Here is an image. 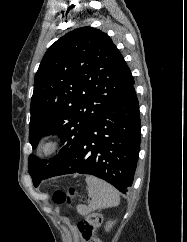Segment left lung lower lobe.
Segmentation results:
<instances>
[{
	"label": "left lung lower lobe",
	"mask_w": 187,
	"mask_h": 242,
	"mask_svg": "<svg viewBox=\"0 0 187 242\" xmlns=\"http://www.w3.org/2000/svg\"><path fill=\"white\" fill-rule=\"evenodd\" d=\"M141 121L134 84L93 121L71 154L51 172L33 178L82 173L106 180L120 192L132 185L140 149Z\"/></svg>",
	"instance_id": "obj_1"
}]
</instances>
